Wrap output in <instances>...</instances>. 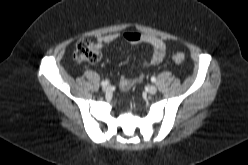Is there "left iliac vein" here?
<instances>
[{
  "label": "left iliac vein",
  "mask_w": 248,
  "mask_h": 165,
  "mask_svg": "<svg viewBox=\"0 0 248 165\" xmlns=\"http://www.w3.org/2000/svg\"><path fill=\"white\" fill-rule=\"evenodd\" d=\"M147 90L150 94H155L157 92V88L154 85H149Z\"/></svg>",
  "instance_id": "1"
}]
</instances>
